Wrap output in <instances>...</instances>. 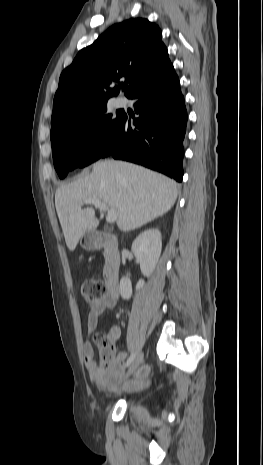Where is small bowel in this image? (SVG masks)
I'll return each mask as SVG.
<instances>
[{"mask_svg":"<svg viewBox=\"0 0 263 465\" xmlns=\"http://www.w3.org/2000/svg\"><path fill=\"white\" fill-rule=\"evenodd\" d=\"M118 300V294L113 295L110 292L105 295L99 302L94 303L90 306V310L87 316V330L91 334L97 327L99 316L108 309H112L116 306ZM110 335L114 340L118 339L120 332L118 329H113ZM84 360L86 369L92 382L100 389L111 390L114 389L120 380L124 364L119 362L115 364L109 370L101 369L94 356V349L90 341H87L84 346ZM148 372L147 368H142L135 380L131 381L127 388H133L136 385V379L144 377Z\"/></svg>","mask_w":263,"mask_h":465,"instance_id":"obj_1","label":"small bowel"}]
</instances>
